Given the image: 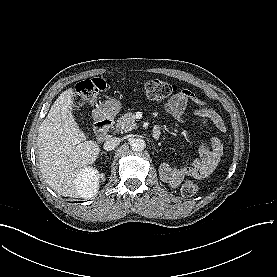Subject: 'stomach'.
Listing matches in <instances>:
<instances>
[{
    "instance_id": "obj_1",
    "label": "stomach",
    "mask_w": 277,
    "mask_h": 277,
    "mask_svg": "<svg viewBox=\"0 0 277 277\" xmlns=\"http://www.w3.org/2000/svg\"><path fill=\"white\" fill-rule=\"evenodd\" d=\"M102 109L107 115H116L121 109V102L115 98H111L104 102Z\"/></svg>"
}]
</instances>
